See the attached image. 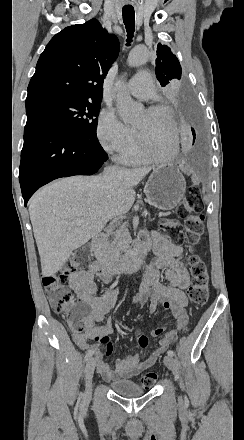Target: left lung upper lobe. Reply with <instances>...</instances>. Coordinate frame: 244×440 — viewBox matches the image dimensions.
<instances>
[{
	"mask_svg": "<svg viewBox=\"0 0 244 440\" xmlns=\"http://www.w3.org/2000/svg\"><path fill=\"white\" fill-rule=\"evenodd\" d=\"M155 73L162 87L181 79L182 70L177 57L168 46L161 43L157 47Z\"/></svg>",
	"mask_w": 244,
	"mask_h": 440,
	"instance_id": "left-lung-upper-lobe-1",
	"label": "left lung upper lobe"
}]
</instances>
